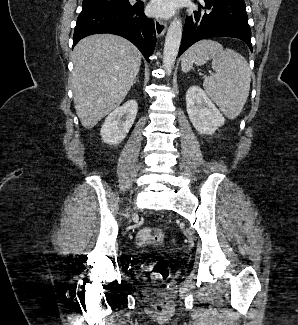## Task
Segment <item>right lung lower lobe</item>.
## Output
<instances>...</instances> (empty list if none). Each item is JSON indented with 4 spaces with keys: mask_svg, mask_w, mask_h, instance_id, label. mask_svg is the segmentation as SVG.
Wrapping results in <instances>:
<instances>
[{
    "mask_svg": "<svg viewBox=\"0 0 298 325\" xmlns=\"http://www.w3.org/2000/svg\"><path fill=\"white\" fill-rule=\"evenodd\" d=\"M111 33L131 41L149 62L156 44L154 21L147 18L143 5L82 10L74 30L73 46L88 35Z\"/></svg>",
    "mask_w": 298,
    "mask_h": 325,
    "instance_id": "98d812e1",
    "label": "right lung lower lobe"
}]
</instances>
